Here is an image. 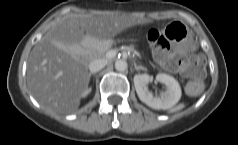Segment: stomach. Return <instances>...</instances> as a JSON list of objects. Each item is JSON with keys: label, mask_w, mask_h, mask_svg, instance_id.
<instances>
[{"label": "stomach", "mask_w": 238, "mask_h": 145, "mask_svg": "<svg viewBox=\"0 0 238 145\" xmlns=\"http://www.w3.org/2000/svg\"><path fill=\"white\" fill-rule=\"evenodd\" d=\"M163 34L176 47L188 44L189 50L195 49L190 29L180 21H168L163 27Z\"/></svg>", "instance_id": "obj_1"}]
</instances>
